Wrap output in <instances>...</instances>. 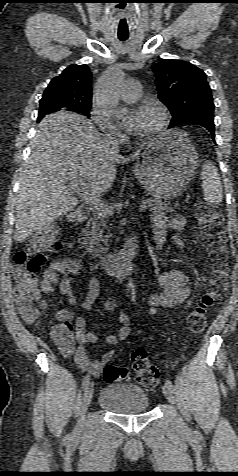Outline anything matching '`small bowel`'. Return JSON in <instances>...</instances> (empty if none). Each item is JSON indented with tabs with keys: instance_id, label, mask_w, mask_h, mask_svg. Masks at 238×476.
Returning <instances> with one entry per match:
<instances>
[{
	"instance_id": "small-bowel-1",
	"label": "small bowel",
	"mask_w": 238,
	"mask_h": 476,
	"mask_svg": "<svg viewBox=\"0 0 238 476\" xmlns=\"http://www.w3.org/2000/svg\"><path fill=\"white\" fill-rule=\"evenodd\" d=\"M152 226L156 248H161L166 240L168 228L181 231L184 228V221L181 218H168L163 214H156L152 217ZM69 274L83 276L88 279V292L83 301L79 302L72 294ZM125 274L120 275L123 278ZM157 282L162 291L153 294L148 299L149 312L154 313L157 307L173 309L182 304L190 295L191 289L188 286V278L180 271L172 270L158 275ZM40 290L44 294H51L58 290L60 294L73 307L83 310H90L99 297V283L95 277L90 275L85 265L78 259L67 257L52 261L42 274ZM40 306L44 304L40 302ZM117 306L115 298H109L104 303L105 311H111ZM57 323L52 327L51 335L59 347L61 353L68 358H72L76 365L95 377L102 374L104 367L111 361L114 351L104 352L101 359L91 358L88 345L98 340V334L86 330L85 319L68 310L58 311L55 315ZM119 329L115 333L109 334L105 343L115 345L126 339L131 333L130 320L127 314L122 313L118 317Z\"/></svg>"
}]
</instances>
